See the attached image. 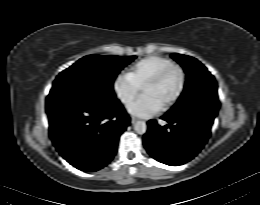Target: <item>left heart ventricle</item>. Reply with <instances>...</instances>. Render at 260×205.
I'll return each instance as SVG.
<instances>
[{
	"label": "left heart ventricle",
	"instance_id": "obj_1",
	"mask_svg": "<svg viewBox=\"0 0 260 205\" xmlns=\"http://www.w3.org/2000/svg\"><path fill=\"white\" fill-rule=\"evenodd\" d=\"M180 85V74L172 72L156 85L152 90L155 93V99L160 106L164 105L177 91Z\"/></svg>",
	"mask_w": 260,
	"mask_h": 205
}]
</instances>
